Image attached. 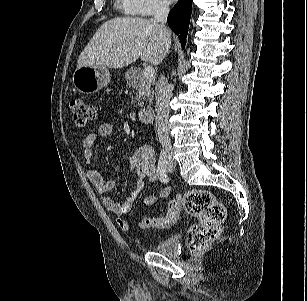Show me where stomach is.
Segmentation results:
<instances>
[{
	"instance_id": "obj_1",
	"label": "stomach",
	"mask_w": 307,
	"mask_h": 301,
	"mask_svg": "<svg viewBox=\"0 0 307 301\" xmlns=\"http://www.w3.org/2000/svg\"><path fill=\"white\" fill-rule=\"evenodd\" d=\"M74 87L81 93L93 94L110 82V74L106 67L82 66L73 73Z\"/></svg>"
}]
</instances>
